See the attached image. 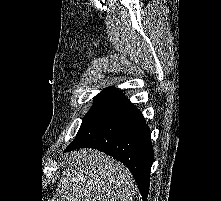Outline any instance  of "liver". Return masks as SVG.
Returning a JSON list of instances; mask_svg holds the SVG:
<instances>
[{
	"mask_svg": "<svg viewBox=\"0 0 221 201\" xmlns=\"http://www.w3.org/2000/svg\"><path fill=\"white\" fill-rule=\"evenodd\" d=\"M66 160L57 201H133L135 183L120 162L93 149L73 151Z\"/></svg>",
	"mask_w": 221,
	"mask_h": 201,
	"instance_id": "6515ba94",
	"label": "liver"
}]
</instances>
